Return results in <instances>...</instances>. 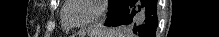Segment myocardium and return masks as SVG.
Listing matches in <instances>:
<instances>
[{"mask_svg": "<svg viewBox=\"0 0 219 37\" xmlns=\"http://www.w3.org/2000/svg\"><path fill=\"white\" fill-rule=\"evenodd\" d=\"M72 2L73 1H71V0L66 1L65 8L62 12V18L64 19L65 23L71 28L87 27V26L93 24L94 22H96L97 20H99L105 12L106 1L105 0H96L95 4H96L97 9H96L95 14L90 19H88L84 22L74 23V22L69 21L66 17V11L71 6Z\"/></svg>", "mask_w": 219, "mask_h": 37, "instance_id": "1", "label": "myocardium"}]
</instances>
